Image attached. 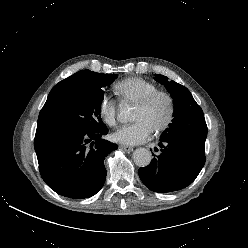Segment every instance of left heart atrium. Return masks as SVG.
<instances>
[{"instance_id": "39dd6f15", "label": "left heart atrium", "mask_w": 248, "mask_h": 248, "mask_svg": "<svg viewBox=\"0 0 248 248\" xmlns=\"http://www.w3.org/2000/svg\"><path fill=\"white\" fill-rule=\"evenodd\" d=\"M152 129L144 121H135L118 128L112 138L125 145H136L146 141L151 135Z\"/></svg>"}]
</instances>
